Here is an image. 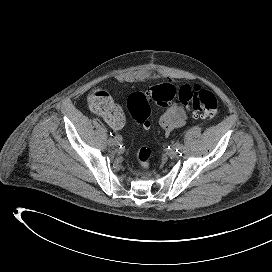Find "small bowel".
Segmentation results:
<instances>
[{
  "mask_svg": "<svg viewBox=\"0 0 272 272\" xmlns=\"http://www.w3.org/2000/svg\"><path fill=\"white\" fill-rule=\"evenodd\" d=\"M95 111V110H94ZM105 121L115 130L124 126L125 118L120 108L109 98V105L105 112H98ZM188 118L185 108L179 103L170 105L159 117V125L165 135H169L173 130L182 126Z\"/></svg>",
  "mask_w": 272,
  "mask_h": 272,
  "instance_id": "obj_1",
  "label": "small bowel"
}]
</instances>
